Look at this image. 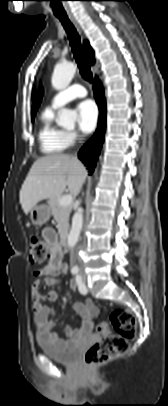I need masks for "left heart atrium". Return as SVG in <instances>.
<instances>
[{
  "label": "left heart atrium",
  "mask_w": 168,
  "mask_h": 406,
  "mask_svg": "<svg viewBox=\"0 0 168 406\" xmlns=\"http://www.w3.org/2000/svg\"><path fill=\"white\" fill-rule=\"evenodd\" d=\"M78 125L82 132L91 133L98 121V109L94 102L86 100L77 106Z\"/></svg>",
  "instance_id": "1"
}]
</instances>
